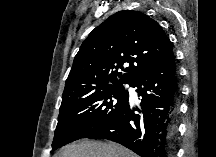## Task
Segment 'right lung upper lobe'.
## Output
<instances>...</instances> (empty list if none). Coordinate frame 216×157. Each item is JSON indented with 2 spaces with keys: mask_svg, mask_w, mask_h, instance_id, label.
I'll list each match as a JSON object with an SVG mask.
<instances>
[{
  "mask_svg": "<svg viewBox=\"0 0 216 157\" xmlns=\"http://www.w3.org/2000/svg\"><path fill=\"white\" fill-rule=\"evenodd\" d=\"M172 49L155 20L139 11H119L93 29L82 43L65 83L62 104L87 91L131 84ZM118 70L125 73L121 75Z\"/></svg>",
  "mask_w": 216,
  "mask_h": 157,
  "instance_id": "right-lung-upper-lobe-1",
  "label": "right lung upper lobe"
}]
</instances>
